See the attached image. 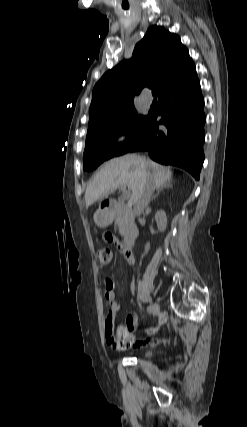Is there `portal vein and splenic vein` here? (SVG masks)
I'll list each match as a JSON object with an SVG mask.
<instances>
[{"label": "portal vein and splenic vein", "instance_id": "18ae733b", "mask_svg": "<svg viewBox=\"0 0 247 427\" xmlns=\"http://www.w3.org/2000/svg\"><path fill=\"white\" fill-rule=\"evenodd\" d=\"M123 191V197H128L129 196V192L125 189V187L121 188Z\"/></svg>", "mask_w": 247, "mask_h": 427}]
</instances>
